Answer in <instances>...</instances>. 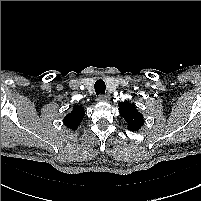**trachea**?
Instances as JSON below:
<instances>
[{
  "label": "trachea",
  "mask_w": 201,
  "mask_h": 201,
  "mask_svg": "<svg viewBox=\"0 0 201 201\" xmlns=\"http://www.w3.org/2000/svg\"><path fill=\"white\" fill-rule=\"evenodd\" d=\"M94 88L97 96L104 95L106 89L105 82L102 79L97 80L95 82Z\"/></svg>",
  "instance_id": "1"
}]
</instances>
